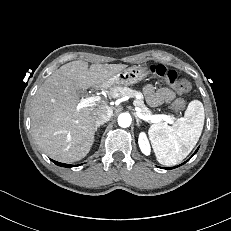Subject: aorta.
<instances>
[{
    "mask_svg": "<svg viewBox=\"0 0 231 231\" xmlns=\"http://www.w3.org/2000/svg\"><path fill=\"white\" fill-rule=\"evenodd\" d=\"M131 116L128 113H122L118 117V124L122 128L129 127L131 124Z\"/></svg>",
    "mask_w": 231,
    "mask_h": 231,
    "instance_id": "762f6f07",
    "label": "aorta"
}]
</instances>
